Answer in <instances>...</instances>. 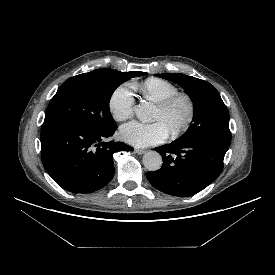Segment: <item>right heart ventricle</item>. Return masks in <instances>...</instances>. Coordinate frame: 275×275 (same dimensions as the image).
Here are the masks:
<instances>
[{"instance_id":"e07e8e85","label":"right heart ventricle","mask_w":275,"mask_h":275,"mask_svg":"<svg viewBox=\"0 0 275 275\" xmlns=\"http://www.w3.org/2000/svg\"><path fill=\"white\" fill-rule=\"evenodd\" d=\"M141 92L146 99L159 104L166 98L179 92V90L177 86L168 80L151 77L143 82Z\"/></svg>"}]
</instances>
